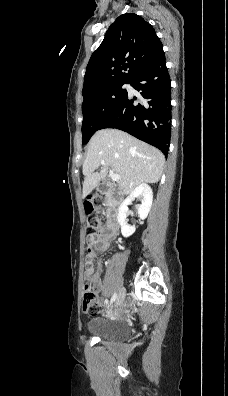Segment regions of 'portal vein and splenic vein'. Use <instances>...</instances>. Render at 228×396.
Instances as JSON below:
<instances>
[{
  "mask_svg": "<svg viewBox=\"0 0 228 396\" xmlns=\"http://www.w3.org/2000/svg\"><path fill=\"white\" fill-rule=\"evenodd\" d=\"M104 164H105L104 162H101V165H104ZM109 176H110V178L112 179V181L118 182V181L120 180V176H119L118 174H115V173L113 172V170H110V171H109Z\"/></svg>",
  "mask_w": 228,
  "mask_h": 396,
  "instance_id": "18ae733b",
  "label": "portal vein and splenic vein"
}]
</instances>
